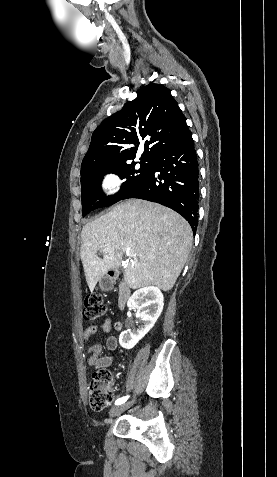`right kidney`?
<instances>
[{
	"mask_svg": "<svg viewBox=\"0 0 277 477\" xmlns=\"http://www.w3.org/2000/svg\"><path fill=\"white\" fill-rule=\"evenodd\" d=\"M164 305V297L155 286L143 287L133 293L127 302L129 309L136 310V318L143 323L138 329H127L119 336V344L132 349L154 326Z\"/></svg>",
	"mask_w": 277,
	"mask_h": 477,
	"instance_id": "ca27d5eb",
	"label": "right kidney"
}]
</instances>
